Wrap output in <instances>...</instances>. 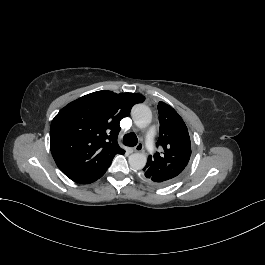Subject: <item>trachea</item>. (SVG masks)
I'll list each match as a JSON object with an SVG mask.
<instances>
[{
	"mask_svg": "<svg viewBox=\"0 0 265 265\" xmlns=\"http://www.w3.org/2000/svg\"><path fill=\"white\" fill-rule=\"evenodd\" d=\"M123 143L126 146L133 147V146H135L138 143L137 136L134 133L126 134L123 137Z\"/></svg>",
	"mask_w": 265,
	"mask_h": 265,
	"instance_id": "trachea-1",
	"label": "trachea"
}]
</instances>
